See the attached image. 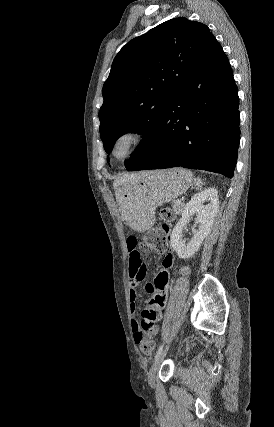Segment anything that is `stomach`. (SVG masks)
Returning a JSON list of instances; mask_svg holds the SVG:
<instances>
[{
    "label": "stomach",
    "mask_w": 274,
    "mask_h": 427,
    "mask_svg": "<svg viewBox=\"0 0 274 427\" xmlns=\"http://www.w3.org/2000/svg\"><path fill=\"white\" fill-rule=\"evenodd\" d=\"M193 180L192 172L183 168L142 172L132 178L122 202V215L134 217L135 229L146 231L155 223V210L165 202L182 196Z\"/></svg>",
    "instance_id": "0dacf381"
}]
</instances>
